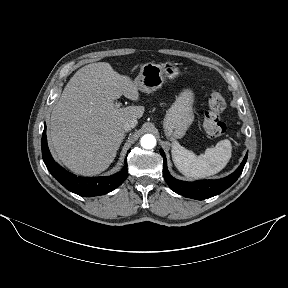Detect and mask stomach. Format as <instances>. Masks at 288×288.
I'll return each instance as SVG.
<instances>
[{
    "instance_id": "0dacf381",
    "label": "stomach",
    "mask_w": 288,
    "mask_h": 288,
    "mask_svg": "<svg viewBox=\"0 0 288 288\" xmlns=\"http://www.w3.org/2000/svg\"><path fill=\"white\" fill-rule=\"evenodd\" d=\"M179 73L178 67L173 63L167 62L160 65L149 62L141 66L134 83L138 90L152 93L161 88L165 78L174 79L178 77ZM193 103L194 93L191 89H184L176 97L163 121V129L168 139L175 140L185 135L194 121Z\"/></svg>"
}]
</instances>
